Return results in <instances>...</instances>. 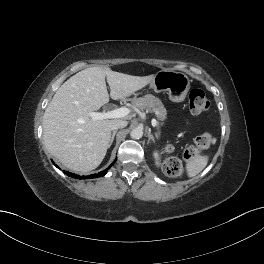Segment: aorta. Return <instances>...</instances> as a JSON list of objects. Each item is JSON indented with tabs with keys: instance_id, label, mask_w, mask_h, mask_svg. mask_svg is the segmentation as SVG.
I'll return each mask as SVG.
<instances>
[{
	"instance_id": "762f6f07",
	"label": "aorta",
	"mask_w": 264,
	"mask_h": 264,
	"mask_svg": "<svg viewBox=\"0 0 264 264\" xmlns=\"http://www.w3.org/2000/svg\"><path fill=\"white\" fill-rule=\"evenodd\" d=\"M131 138L140 139L143 136V130L139 127L134 128L130 133Z\"/></svg>"
}]
</instances>
